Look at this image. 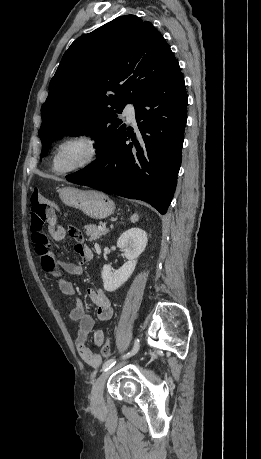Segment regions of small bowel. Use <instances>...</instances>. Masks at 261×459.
I'll return each mask as SVG.
<instances>
[{
    "mask_svg": "<svg viewBox=\"0 0 261 459\" xmlns=\"http://www.w3.org/2000/svg\"><path fill=\"white\" fill-rule=\"evenodd\" d=\"M32 221V219H31ZM71 228V227H70ZM68 230L60 225H57L56 219L48 223L49 236L44 238H35L31 234L32 242L35 245V250L40 257L41 267L47 272L56 276L60 291L65 295L75 296L74 306L68 312V318L77 323L78 332L75 339L76 350L80 358L88 365L98 368L102 363L101 356L93 351L88 345V339L91 332L93 333V342L96 346L102 345L105 339L103 330H94L95 321L84 304L83 300L76 295V289L72 282L65 278V274L78 276L82 274L85 263L93 258V252L89 246L84 244L82 234L80 237L73 236ZM69 235L74 241V249L80 255L79 263L65 262L58 258L56 252L52 248L51 239L56 242H61ZM90 301L96 308V315L100 322H108L113 316V308L111 302L105 292L99 288H90L85 291Z\"/></svg>",
    "mask_w": 261,
    "mask_h": 459,
    "instance_id": "obj_1",
    "label": "small bowel"
}]
</instances>
